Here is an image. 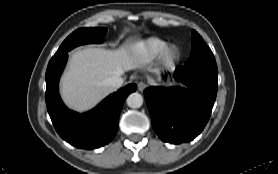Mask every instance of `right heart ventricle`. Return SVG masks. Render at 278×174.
<instances>
[{
	"instance_id": "e07e8e85",
	"label": "right heart ventricle",
	"mask_w": 278,
	"mask_h": 174,
	"mask_svg": "<svg viewBox=\"0 0 278 174\" xmlns=\"http://www.w3.org/2000/svg\"><path fill=\"white\" fill-rule=\"evenodd\" d=\"M168 45V43L158 37H151L139 42L136 46V52L145 60H153L157 58L160 52Z\"/></svg>"
}]
</instances>
